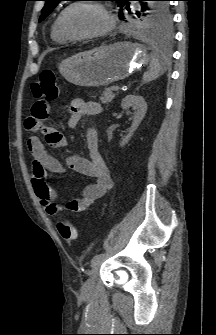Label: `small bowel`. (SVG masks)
Masks as SVG:
<instances>
[{
	"label": "small bowel",
	"mask_w": 216,
	"mask_h": 335,
	"mask_svg": "<svg viewBox=\"0 0 216 335\" xmlns=\"http://www.w3.org/2000/svg\"><path fill=\"white\" fill-rule=\"evenodd\" d=\"M37 104L30 109V119L26 120L28 130L33 134L45 135L49 145L55 149L67 147L65 138L47 120L51 115L58 114V109L50 108L46 98H37ZM101 105L96 101H85L76 98L70 103L68 126L75 129L84 117L95 116L101 112ZM27 148L32 157V185L34 192L48 215L56 216L64 211L82 212L104 196L113 185L109 169L99 151L98 135L93 128L86 131V149L88 158L73 154L68 156L67 165L73 171L88 176L93 182L88 184L80 199H74L62 206L55 202L56 191L46 181L49 172L63 171L61 164L46 150L43 142L37 136H29Z\"/></svg>",
	"instance_id": "small-bowel-1"
}]
</instances>
